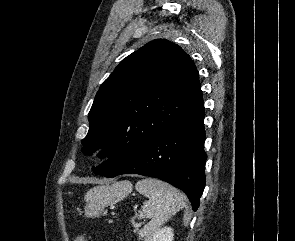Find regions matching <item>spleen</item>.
<instances>
[{
	"instance_id": "1",
	"label": "spleen",
	"mask_w": 295,
	"mask_h": 241,
	"mask_svg": "<svg viewBox=\"0 0 295 241\" xmlns=\"http://www.w3.org/2000/svg\"><path fill=\"white\" fill-rule=\"evenodd\" d=\"M136 190L148 198L135 218L151 220L139 231V238L145 241L152 237L159 227L181 209L187 207V198L179 190L158 179L145 178L135 185Z\"/></svg>"
}]
</instances>
